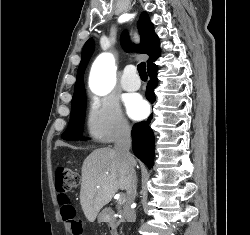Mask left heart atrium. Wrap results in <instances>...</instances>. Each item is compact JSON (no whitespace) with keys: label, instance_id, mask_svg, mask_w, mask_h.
Listing matches in <instances>:
<instances>
[{"label":"left heart atrium","instance_id":"left-heart-atrium-1","mask_svg":"<svg viewBox=\"0 0 250 235\" xmlns=\"http://www.w3.org/2000/svg\"><path fill=\"white\" fill-rule=\"evenodd\" d=\"M129 112L132 117L139 119L145 116L147 108L142 100L135 99L129 106Z\"/></svg>","mask_w":250,"mask_h":235}]
</instances>
